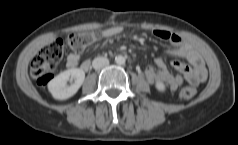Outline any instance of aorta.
<instances>
[{
    "instance_id": "1",
    "label": "aorta",
    "mask_w": 238,
    "mask_h": 145,
    "mask_svg": "<svg viewBox=\"0 0 238 145\" xmlns=\"http://www.w3.org/2000/svg\"><path fill=\"white\" fill-rule=\"evenodd\" d=\"M125 57L122 56V55H118L116 58H115V62L118 64V65H123L125 64Z\"/></svg>"
}]
</instances>
